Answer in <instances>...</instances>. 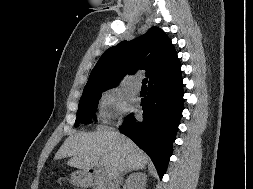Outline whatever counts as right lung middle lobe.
Here are the masks:
<instances>
[{
	"label": "right lung middle lobe",
	"instance_id": "right-lung-middle-lobe-1",
	"mask_svg": "<svg viewBox=\"0 0 253 189\" xmlns=\"http://www.w3.org/2000/svg\"><path fill=\"white\" fill-rule=\"evenodd\" d=\"M109 88L111 87L83 91L79 102L77 118L75 121V124L77 125L75 127H78L79 123H91L92 119H96L95 112L98 106V101L101 98V93Z\"/></svg>",
	"mask_w": 253,
	"mask_h": 189
}]
</instances>
